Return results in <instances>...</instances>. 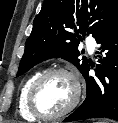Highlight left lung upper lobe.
I'll use <instances>...</instances> for the list:
<instances>
[{
	"label": "left lung upper lobe",
	"instance_id": "left-lung-upper-lobe-1",
	"mask_svg": "<svg viewBox=\"0 0 118 123\" xmlns=\"http://www.w3.org/2000/svg\"><path fill=\"white\" fill-rule=\"evenodd\" d=\"M117 17L118 0H46L34 19L17 76L44 60L59 57L72 62L83 74L89 64L84 57L78 58L82 39L78 33L96 38Z\"/></svg>",
	"mask_w": 118,
	"mask_h": 123
}]
</instances>
